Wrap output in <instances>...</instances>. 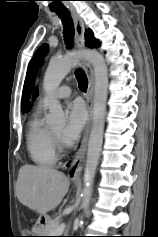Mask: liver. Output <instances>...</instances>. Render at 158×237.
Wrapping results in <instances>:
<instances>
[{"label":"liver","instance_id":"obj_1","mask_svg":"<svg viewBox=\"0 0 158 237\" xmlns=\"http://www.w3.org/2000/svg\"><path fill=\"white\" fill-rule=\"evenodd\" d=\"M69 185L65 174L56 169L25 164L19 170L15 194L23 205L46 214L61 203Z\"/></svg>","mask_w":158,"mask_h":237}]
</instances>
